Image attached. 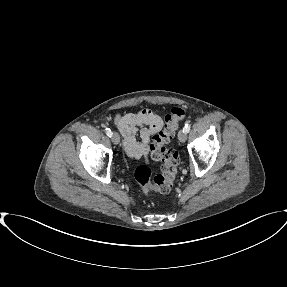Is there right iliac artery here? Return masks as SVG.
Instances as JSON below:
<instances>
[{
  "label": "right iliac artery",
  "mask_w": 287,
  "mask_h": 287,
  "mask_svg": "<svg viewBox=\"0 0 287 287\" xmlns=\"http://www.w3.org/2000/svg\"><path fill=\"white\" fill-rule=\"evenodd\" d=\"M105 130H106L107 136H108V137H111V136H112L111 130H110L109 128H106Z\"/></svg>",
  "instance_id": "obj_1"
}]
</instances>
